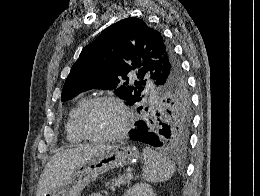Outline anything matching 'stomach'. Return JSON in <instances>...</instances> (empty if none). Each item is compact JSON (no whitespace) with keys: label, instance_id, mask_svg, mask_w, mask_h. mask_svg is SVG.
<instances>
[{"label":"stomach","instance_id":"1","mask_svg":"<svg viewBox=\"0 0 260 196\" xmlns=\"http://www.w3.org/2000/svg\"><path fill=\"white\" fill-rule=\"evenodd\" d=\"M139 158L138 150L134 146H106L101 154L93 156L91 160L76 168L70 180H61V185L67 187H54L53 191L42 193V196H81L82 190L100 174L114 168L131 166L138 162Z\"/></svg>","mask_w":260,"mask_h":196}]
</instances>
